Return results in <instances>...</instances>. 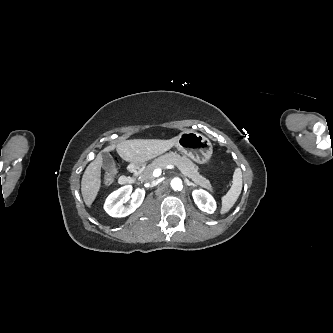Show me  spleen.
<instances>
[{
    "label": "spleen",
    "mask_w": 333,
    "mask_h": 333,
    "mask_svg": "<svg viewBox=\"0 0 333 333\" xmlns=\"http://www.w3.org/2000/svg\"><path fill=\"white\" fill-rule=\"evenodd\" d=\"M242 190V172L236 168L233 174V181L230 190L222 197L221 213H227L238 200Z\"/></svg>",
    "instance_id": "3e777b00"
}]
</instances>
